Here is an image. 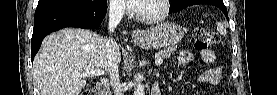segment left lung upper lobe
<instances>
[{
    "label": "left lung upper lobe",
    "mask_w": 277,
    "mask_h": 95,
    "mask_svg": "<svg viewBox=\"0 0 277 95\" xmlns=\"http://www.w3.org/2000/svg\"><path fill=\"white\" fill-rule=\"evenodd\" d=\"M188 0H171L170 10L176 9L186 3Z\"/></svg>",
    "instance_id": "obj_1"
}]
</instances>
